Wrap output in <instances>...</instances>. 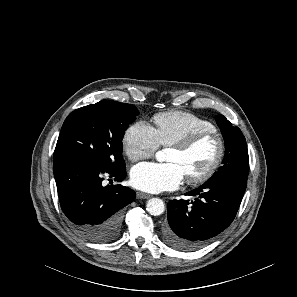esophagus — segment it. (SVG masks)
Instances as JSON below:
<instances>
[{"label": "esophagus", "instance_id": "34e87169", "mask_svg": "<svg viewBox=\"0 0 297 297\" xmlns=\"http://www.w3.org/2000/svg\"><path fill=\"white\" fill-rule=\"evenodd\" d=\"M151 195L143 192H137V198L138 199H148Z\"/></svg>", "mask_w": 297, "mask_h": 297}]
</instances>
